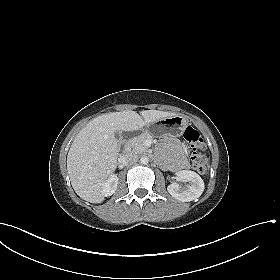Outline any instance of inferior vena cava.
Returning <instances> with one entry per match:
<instances>
[{
    "label": "inferior vena cava",
    "mask_w": 280,
    "mask_h": 280,
    "mask_svg": "<svg viewBox=\"0 0 280 280\" xmlns=\"http://www.w3.org/2000/svg\"><path fill=\"white\" fill-rule=\"evenodd\" d=\"M139 160L138 155L130 152L122 156V162L125 164H134Z\"/></svg>",
    "instance_id": "1"
}]
</instances>
